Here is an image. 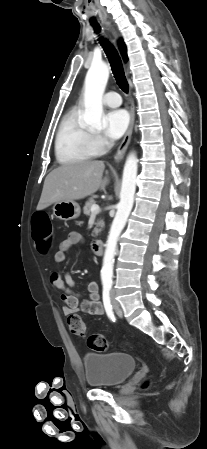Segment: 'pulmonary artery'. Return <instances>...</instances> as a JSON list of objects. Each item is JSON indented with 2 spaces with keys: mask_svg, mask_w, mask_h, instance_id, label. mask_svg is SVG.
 Masks as SVG:
<instances>
[{
  "mask_svg": "<svg viewBox=\"0 0 207 449\" xmlns=\"http://www.w3.org/2000/svg\"><path fill=\"white\" fill-rule=\"evenodd\" d=\"M103 102L109 107H118L121 105L122 99L117 92L110 91L103 97Z\"/></svg>",
  "mask_w": 207,
  "mask_h": 449,
  "instance_id": "e3ab8cb5",
  "label": "pulmonary artery"
}]
</instances>
